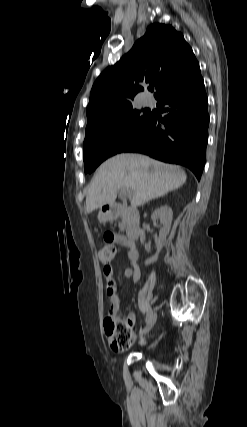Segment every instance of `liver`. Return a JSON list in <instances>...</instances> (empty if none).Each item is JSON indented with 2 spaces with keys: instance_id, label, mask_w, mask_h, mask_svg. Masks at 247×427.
Listing matches in <instances>:
<instances>
[{
  "instance_id": "1",
  "label": "liver",
  "mask_w": 247,
  "mask_h": 427,
  "mask_svg": "<svg viewBox=\"0 0 247 427\" xmlns=\"http://www.w3.org/2000/svg\"><path fill=\"white\" fill-rule=\"evenodd\" d=\"M186 179L179 166L140 154H118L99 166L87 192L86 212L112 204L120 189L133 193V207L141 206L180 188Z\"/></svg>"
}]
</instances>
